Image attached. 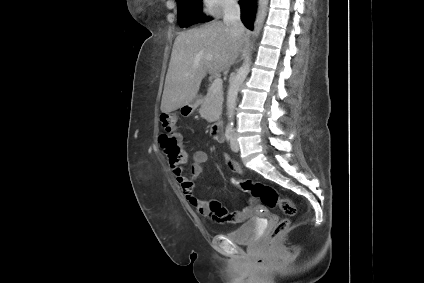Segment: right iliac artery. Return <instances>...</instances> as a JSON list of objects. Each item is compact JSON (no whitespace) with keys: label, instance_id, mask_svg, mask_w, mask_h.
Here are the masks:
<instances>
[{"label":"right iliac artery","instance_id":"82829eb1","mask_svg":"<svg viewBox=\"0 0 424 283\" xmlns=\"http://www.w3.org/2000/svg\"><path fill=\"white\" fill-rule=\"evenodd\" d=\"M232 133H233V127L232 126H228L225 132V137L227 141H230L232 138Z\"/></svg>","mask_w":424,"mask_h":283}]
</instances>
